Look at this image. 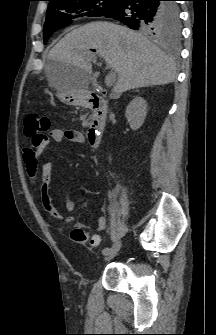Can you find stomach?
<instances>
[{"label":"stomach","mask_w":216,"mask_h":335,"mask_svg":"<svg viewBox=\"0 0 216 335\" xmlns=\"http://www.w3.org/2000/svg\"><path fill=\"white\" fill-rule=\"evenodd\" d=\"M58 99L66 105H79L83 96L80 89H74L63 76H58L55 81Z\"/></svg>","instance_id":"obj_1"}]
</instances>
